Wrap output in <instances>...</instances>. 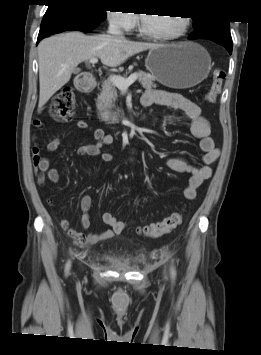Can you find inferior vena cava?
<instances>
[{
    "label": "inferior vena cava",
    "instance_id": "inferior-vena-cava-1",
    "mask_svg": "<svg viewBox=\"0 0 261 355\" xmlns=\"http://www.w3.org/2000/svg\"><path fill=\"white\" fill-rule=\"evenodd\" d=\"M108 34L119 39H124L123 33L119 29L117 23L114 21L110 22Z\"/></svg>",
    "mask_w": 261,
    "mask_h": 355
}]
</instances>
